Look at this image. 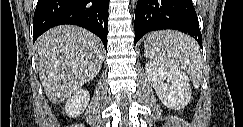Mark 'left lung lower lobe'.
<instances>
[{
	"mask_svg": "<svg viewBox=\"0 0 243 127\" xmlns=\"http://www.w3.org/2000/svg\"><path fill=\"white\" fill-rule=\"evenodd\" d=\"M175 29L189 34L202 46V35L192 0H138L135 11V44L154 30Z\"/></svg>",
	"mask_w": 243,
	"mask_h": 127,
	"instance_id": "left-lung-lower-lobe-1",
	"label": "left lung lower lobe"
}]
</instances>
